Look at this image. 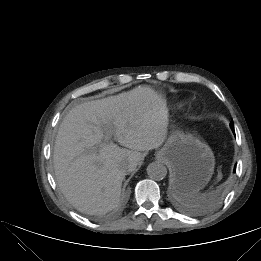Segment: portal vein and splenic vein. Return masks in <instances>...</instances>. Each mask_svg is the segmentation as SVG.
<instances>
[{"mask_svg":"<svg viewBox=\"0 0 261 261\" xmlns=\"http://www.w3.org/2000/svg\"><path fill=\"white\" fill-rule=\"evenodd\" d=\"M112 137V132L111 131H107L104 137V142L101 146H106L110 140V138ZM97 149V148H95Z\"/></svg>","mask_w":261,"mask_h":261,"instance_id":"1","label":"portal vein and splenic vein"}]
</instances>
